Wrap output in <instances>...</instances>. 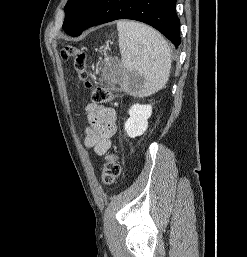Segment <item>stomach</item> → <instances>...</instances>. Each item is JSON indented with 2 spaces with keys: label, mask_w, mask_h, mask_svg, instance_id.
Returning a JSON list of instances; mask_svg holds the SVG:
<instances>
[{
  "label": "stomach",
  "mask_w": 247,
  "mask_h": 257,
  "mask_svg": "<svg viewBox=\"0 0 247 257\" xmlns=\"http://www.w3.org/2000/svg\"><path fill=\"white\" fill-rule=\"evenodd\" d=\"M124 73L120 72L119 77L117 79H114V82L119 83L124 89H129L131 87V79L124 82Z\"/></svg>",
  "instance_id": "1"
}]
</instances>
